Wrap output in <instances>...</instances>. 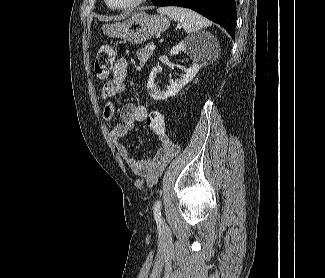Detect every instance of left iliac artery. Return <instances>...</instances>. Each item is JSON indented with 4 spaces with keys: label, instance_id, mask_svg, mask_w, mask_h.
Segmentation results:
<instances>
[{
    "label": "left iliac artery",
    "instance_id": "44dca946",
    "mask_svg": "<svg viewBox=\"0 0 325 278\" xmlns=\"http://www.w3.org/2000/svg\"><path fill=\"white\" fill-rule=\"evenodd\" d=\"M160 208H161V201L158 200L155 205H154V218L156 221H161V212H160Z\"/></svg>",
    "mask_w": 325,
    "mask_h": 278
}]
</instances>
